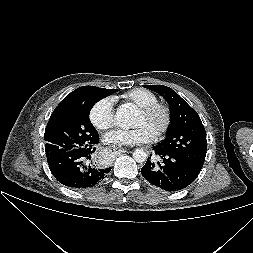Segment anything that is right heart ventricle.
I'll list each match as a JSON object with an SVG mask.
<instances>
[{
	"instance_id": "e07e8e85",
	"label": "right heart ventricle",
	"mask_w": 253,
	"mask_h": 253,
	"mask_svg": "<svg viewBox=\"0 0 253 253\" xmlns=\"http://www.w3.org/2000/svg\"><path fill=\"white\" fill-rule=\"evenodd\" d=\"M122 98L138 108L158 102L157 96L152 91L144 88L132 89L123 94Z\"/></svg>"
}]
</instances>
